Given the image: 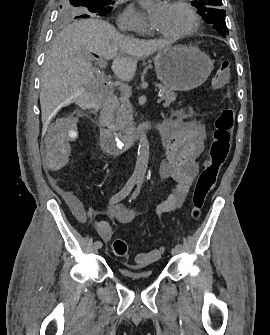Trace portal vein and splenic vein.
Returning a JSON list of instances; mask_svg holds the SVG:
<instances>
[{"label":"portal vein and splenic vein","mask_w":270,"mask_h":335,"mask_svg":"<svg viewBox=\"0 0 270 335\" xmlns=\"http://www.w3.org/2000/svg\"><path fill=\"white\" fill-rule=\"evenodd\" d=\"M96 62L98 63V65H100L101 70L106 69V66H105L106 62H105V59L103 58V55H100V57L96 59ZM116 89H118L119 93H131L132 91L131 86H116ZM159 96L160 98L158 97L156 99V103H160V101L162 100L161 99L162 94H159Z\"/></svg>","instance_id":"1"}]
</instances>
